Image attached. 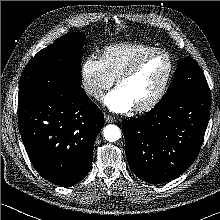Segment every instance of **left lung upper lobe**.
I'll list each match as a JSON object with an SVG mask.
<instances>
[{"mask_svg":"<svg viewBox=\"0 0 220 220\" xmlns=\"http://www.w3.org/2000/svg\"><path fill=\"white\" fill-rule=\"evenodd\" d=\"M202 91H209V87L201 68L189 56L180 58L174 79L158 104Z\"/></svg>","mask_w":220,"mask_h":220,"instance_id":"obj_1","label":"left lung upper lobe"}]
</instances>
